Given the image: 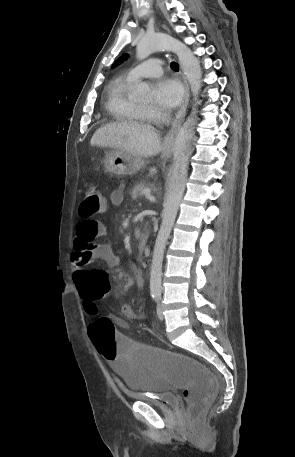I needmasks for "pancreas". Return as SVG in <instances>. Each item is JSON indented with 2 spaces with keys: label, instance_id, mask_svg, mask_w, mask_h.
<instances>
[{
  "label": "pancreas",
  "instance_id": "1",
  "mask_svg": "<svg viewBox=\"0 0 295 457\" xmlns=\"http://www.w3.org/2000/svg\"><path fill=\"white\" fill-rule=\"evenodd\" d=\"M146 184L145 183H139L137 185H135L132 190L130 191V194L132 196L133 199H136L138 197H141L143 195V191L144 189H146Z\"/></svg>",
  "mask_w": 295,
  "mask_h": 457
}]
</instances>
